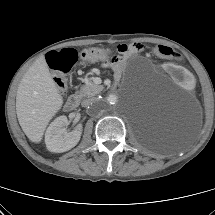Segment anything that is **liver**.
<instances>
[{
  "label": "liver",
  "instance_id": "liver-1",
  "mask_svg": "<svg viewBox=\"0 0 215 215\" xmlns=\"http://www.w3.org/2000/svg\"><path fill=\"white\" fill-rule=\"evenodd\" d=\"M62 104L63 98L47 62L44 57H40L24 74L16 95L17 118L29 140L41 142L48 123Z\"/></svg>",
  "mask_w": 215,
  "mask_h": 215
}]
</instances>
